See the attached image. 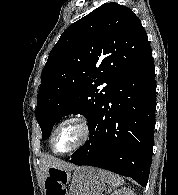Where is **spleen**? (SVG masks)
Listing matches in <instances>:
<instances>
[{"instance_id":"3e777b00","label":"spleen","mask_w":178,"mask_h":195,"mask_svg":"<svg viewBox=\"0 0 178 195\" xmlns=\"http://www.w3.org/2000/svg\"><path fill=\"white\" fill-rule=\"evenodd\" d=\"M102 175L104 176L106 183L111 187V188H117L119 186H122L124 184V180L118 176L117 174L101 170Z\"/></svg>"}]
</instances>
